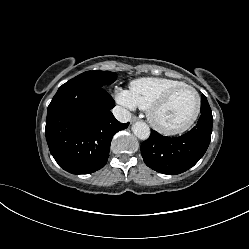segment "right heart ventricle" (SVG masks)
<instances>
[{
	"instance_id": "1",
	"label": "right heart ventricle",
	"mask_w": 249,
	"mask_h": 249,
	"mask_svg": "<svg viewBox=\"0 0 249 249\" xmlns=\"http://www.w3.org/2000/svg\"><path fill=\"white\" fill-rule=\"evenodd\" d=\"M182 84L185 83L170 78L144 77L131 82L129 93L135 105L146 110L169 89Z\"/></svg>"
}]
</instances>
